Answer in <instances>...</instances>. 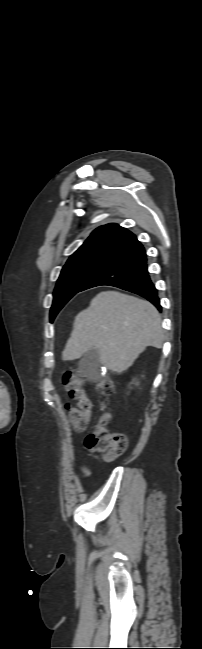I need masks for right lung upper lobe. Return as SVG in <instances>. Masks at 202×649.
<instances>
[{"label": "right lung upper lobe", "mask_w": 202, "mask_h": 649, "mask_svg": "<svg viewBox=\"0 0 202 649\" xmlns=\"http://www.w3.org/2000/svg\"><path fill=\"white\" fill-rule=\"evenodd\" d=\"M139 244L140 242L132 232L111 223L95 229L72 256L93 252L118 255Z\"/></svg>", "instance_id": "right-lung-upper-lobe-1"}]
</instances>
